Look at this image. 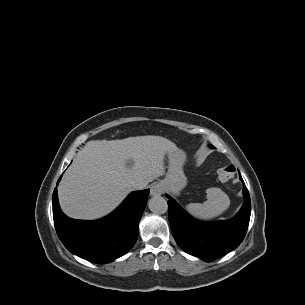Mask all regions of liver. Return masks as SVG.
<instances>
[{"label": "liver", "instance_id": "6515ba94", "mask_svg": "<svg viewBox=\"0 0 305 305\" xmlns=\"http://www.w3.org/2000/svg\"><path fill=\"white\" fill-rule=\"evenodd\" d=\"M176 145L160 136L89 141L77 153L59 186L62 211L94 220L112 212L134 189L164 174V156Z\"/></svg>", "mask_w": 305, "mask_h": 305}]
</instances>
